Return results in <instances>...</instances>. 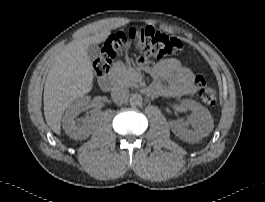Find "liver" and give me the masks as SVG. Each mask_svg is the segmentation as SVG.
I'll list each match as a JSON object with an SVG mask.
<instances>
[{
    "instance_id": "1",
    "label": "liver",
    "mask_w": 265,
    "mask_h": 202,
    "mask_svg": "<svg viewBox=\"0 0 265 202\" xmlns=\"http://www.w3.org/2000/svg\"><path fill=\"white\" fill-rule=\"evenodd\" d=\"M109 31L68 44L55 56L44 86V116L48 126L61 134V119L66 108L92 90V63L87 54L91 43H100Z\"/></svg>"
}]
</instances>
